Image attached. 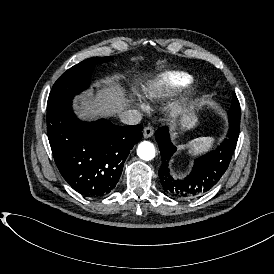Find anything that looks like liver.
<instances>
[{
  "label": "liver",
  "instance_id": "obj_1",
  "mask_svg": "<svg viewBox=\"0 0 274 274\" xmlns=\"http://www.w3.org/2000/svg\"><path fill=\"white\" fill-rule=\"evenodd\" d=\"M118 79L105 80L96 85L98 91L97 96L95 93L83 96L81 100L76 101V107L79 113L84 118H92L99 112L105 114L121 113L126 106V99L118 91Z\"/></svg>",
  "mask_w": 274,
  "mask_h": 274
}]
</instances>
